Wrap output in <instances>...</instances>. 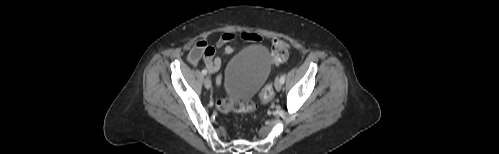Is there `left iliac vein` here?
Instances as JSON below:
<instances>
[{
  "mask_svg": "<svg viewBox=\"0 0 499 154\" xmlns=\"http://www.w3.org/2000/svg\"><path fill=\"white\" fill-rule=\"evenodd\" d=\"M274 86H275L276 91H278V92L282 89V83H281L280 79H277L275 81Z\"/></svg>",
  "mask_w": 499,
  "mask_h": 154,
  "instance_id": "4c4485c4",
  "label": "left iliac vein"
}]
</instances>
